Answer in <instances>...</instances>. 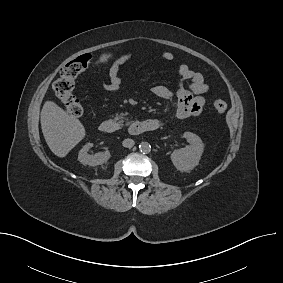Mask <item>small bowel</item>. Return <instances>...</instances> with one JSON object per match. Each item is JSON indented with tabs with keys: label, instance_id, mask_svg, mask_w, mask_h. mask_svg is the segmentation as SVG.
I'll return each mask as SVG.
<instances>
[{
	"label": "small bowel",
	"instance_id": "small-bowel-1",
	"mask_svg": "<svg viewBox=\"0 0 283 283\" xmlns=\"http://www.w3.org/2000/svg\"><path fill=\"white\" fill-rule=\"evenodd\" d=\"M136 55L135 52L124 53L111 64L107 80L102 81V87L108 95L118 92L123 82L120 69ZM161 58L164 61H172L174 54L168 51L163 52ZM178 75L180 82L176 89L156 85L151 89L152 94L172 102L176 119L182 120L191 116H199L205 105L204 95L209 89L203 75L186 64L179 66Z\"/></svg>",
	"mask_w": 283,
	"mask_h": 283
}]
</instances>
